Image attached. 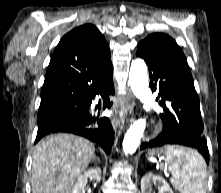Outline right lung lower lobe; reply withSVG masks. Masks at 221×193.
<instances>
[{
  "label": "right lung lower lobe",
  "mask_w": 221,
  "mask_h": 193,
  "mask_svg": "<svg viewBox=\"0 0 221 193\" xmlns=\"http://www.w3.org/2000/svg\"><path fill=\"white\" fill-rule=\"evenodd\" d=\"M112 72L113 68L101 74L92 84L89 93L84 97L86 109L82 114L50 128L38 129L35 142H38L42 137L51 133L67 132L86 137L96 142L107 154H110L114 142L112 125L108 118L100 117V111L98 113L91 112L89 111V107L91 100L99 94L104 98L103 109L111 107L112 103L109 102L108 97L114 93Z\"/></svg>",
  "instance_id": "right-lung-lower-lobe-1"
}]
</instances>
